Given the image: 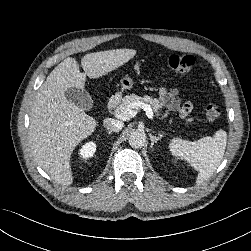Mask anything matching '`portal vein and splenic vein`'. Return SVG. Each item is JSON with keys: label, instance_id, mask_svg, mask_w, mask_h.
Masks as SVG:
<instances>
[{"label": "portal vein and splenic vein", "instance_id": "obj_1", "mask_svg": "<svg viewBox=\"0 0 251 251\" xmlns=\"http://www.w3.org/2000/svg\"><path fill=\"white\" fill-rule=\"evenodd\" d=\"M139 108L146 112V115L149 119H153L154 115L151 106L144 102L131 103L124 111H116L115 116L120 120H129L137 114Z\"/></svg>", "mask_w": 251, "mask_h": 251}]
</instances>
